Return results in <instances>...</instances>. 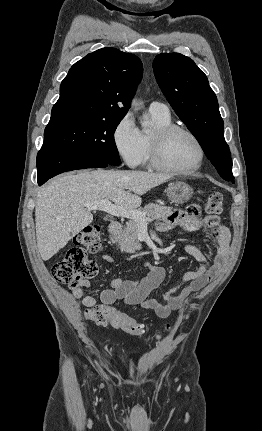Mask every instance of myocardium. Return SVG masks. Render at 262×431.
Instances as JSON below:
<instances>
[{
	"label": "myocardium",
	"instance_id": "obj_1",
	"mask_svg": "<svg viewBox=\"0 0 262 431\" xmlns=\"http://www.w3.org/2000/svg\"><path fill=\"white\" fill-rule=\"evenodd\" d=\"M176 133H183L188 135L195 142L197 146L198 160L196 165L192 169L185 170V169L176 168L169 165L165 161L164 154H163L164 144L170 136ZM150 158H151L152 165L160 171L176 174V175L190 176V175H193L202 167L205 159V149L201 140L197 137V135L194 132H192L191 130L183 126L172 124V125L157 127L152 132V135L150 137Z\"/></svg>",
	"mask_w": 262,
	"mask_h": 431
}]
</instances>
